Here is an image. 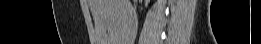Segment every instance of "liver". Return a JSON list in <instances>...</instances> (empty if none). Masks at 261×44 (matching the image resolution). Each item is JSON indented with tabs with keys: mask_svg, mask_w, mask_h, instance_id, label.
Wrapping results in <instances>:
<instances>
[{
	"mask_svg": "<svg viewBox=\"0 0 261 44\" xmlns=\"http://www.w3.org/2000/svg\"><path fill=\"white\" fill-rule=\"evenodd\" d=\"M97 32V44L131 42L127 25L134 24L130 0H89Z\"/></svg>",
	"mask_w": 261,
	"mask_h": 44,
	"instance_id": "6515ba94",
	"label": "liver"
}]
</instances>
